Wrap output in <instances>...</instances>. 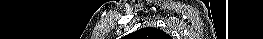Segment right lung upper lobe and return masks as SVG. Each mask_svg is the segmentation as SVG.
<instances>
[{"label": "right lung upper lobe", "instance_id": "obj_1", "mask_svg": "<svg viewBox=\"0 0 263 39\" xmlns=\"http://www.w3.org/2000/svg\"><path fill=\"white\" fill-rule=\"evenodd\" d=\"M133 35L135 37L137 36H141V37H144V38H147L148 39H157V38H161V39H169L170 37L163 31H160L156 28H143V29H140L136 32L133 33Z\"/></svg>", "mask_w": 263, "mask_h": 39}]
</instances>
